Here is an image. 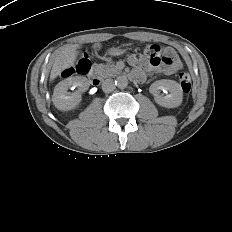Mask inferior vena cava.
<instances>
[{
  "label": "inferior vena cava",
  "instance_id": "inferior-vena-cava-1",
  "mask_svg": "<svg viewBox=\"0 0 232 232\" xmlns=\"http://www.w3.org/2000/svg\"><path fill=\"white\" fill-rule=\"evenodd\" d=\"M114 89H115V84H114V81L112 79H106L103 81L102 90L105 93L112 92V91H114Z\"/></svg>",
  "mask_w": 232,
  "mask_h": 232
}]
</instances>
